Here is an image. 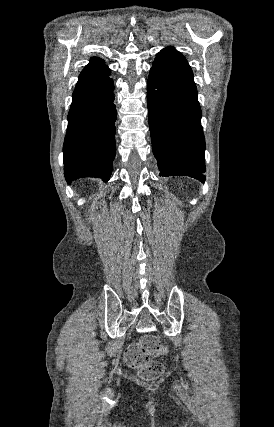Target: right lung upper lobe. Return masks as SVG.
<instances>
[{
  "mask_svg": "<svg viewBox=\"0 0 274 427\" xmlns=\"http://www.w3.org/2000/svg\"><path fill=\"white\" fill-rule=\"evenodd\" d=\"M103 64H104L103 60L95 57V58L91 59L90 63L86 66V68L100 66V65H103Z\"/></svg>",
  "mask_w": 274,
  "mask_h": 427,
  "instance_id": "obj_1",
  "label": "right lung upper lobe"
}]
</instances>
